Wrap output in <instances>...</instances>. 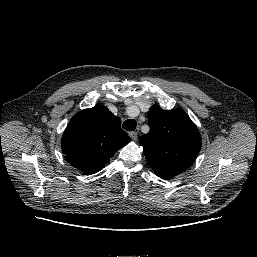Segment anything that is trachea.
<instances>
[{
    "label": "trachea",
    "instance_id": "1",
    "mask_svg": "<svg viewBox=\"0 0 257 257\" xmlns=\"http://www.w3.org/2000/svg\"><path fill=\"white\" fill-rule=\"evenodd\" d=\"M137 123L135 120L133 119H128L126 120L122 127L126 130V131H134L136 129Z\"/></svg>",
    "mask_w": 257,
    "mask_h": 257
}]
</instances>
